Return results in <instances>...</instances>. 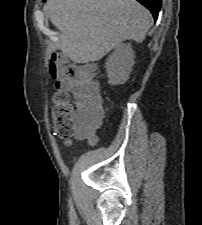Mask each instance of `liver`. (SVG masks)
<instances>
[{
	"mask_svg": "<svg viewBox=\"0 0 202 225\" xmlns=\"http://www.w3.org/2000/svg\"><path fill=\"white\" fill-rule=\"evenodd\" d=\"M56 44L74 63L100 60L125 40L141 43L152 25L150 12L136 0H48Z\"/></svg>",
	"mask_w": 202,
	"mask_h": 225,
	"instance_id": "liver-1",
	"label": "liver"
}]
</instances>
